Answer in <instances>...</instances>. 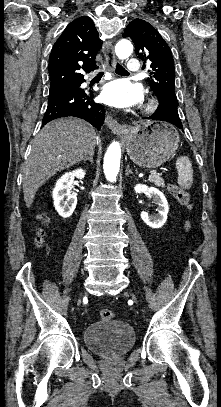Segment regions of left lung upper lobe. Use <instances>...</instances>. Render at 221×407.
<instances>
[{
  "mask_svg": "<svg viewBox=\"0 0 221 407\" xmlns=\"http://www.w3.org/2000/svg\"><path fill=\"white\" fill-rule=\"evenodd\" d=\"M123 37L133 40L137 58L144 60V63L147 61L150 65L148 82L159 102L166 103L169 109L178 112L174 90V60L165 40L151 24L142 19L130 22Z\"/></svg>",
  "mask_w": 221,
  "mask_h": 407,
  "instance_id": "1",
  "label": "left lung upper lobe"
}]
</instances>
